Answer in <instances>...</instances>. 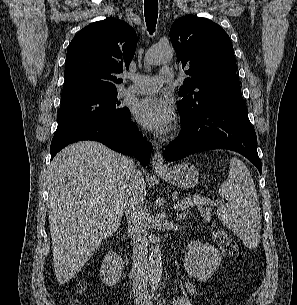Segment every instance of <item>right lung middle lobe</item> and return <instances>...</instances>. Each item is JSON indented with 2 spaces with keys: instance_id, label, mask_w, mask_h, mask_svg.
<instances>
[{
  "instance_id": "obj_1",
  "label": "right lung middle lobe",
  "mask_w": 297,
  "mask_h": 305,
  "mask_svg": "<svg viewBox=\"0 0 297 305\" xmlns=\"http://www.w3.org/2000/svg\"><path fill=\"white\" fill-rule=\"evenodd\" d=\"M117 94V91L93 92L61 100L58 127L52 140L87 123L126 119L130 111L120 106Z\"/></svg>"
}]
</instances>
